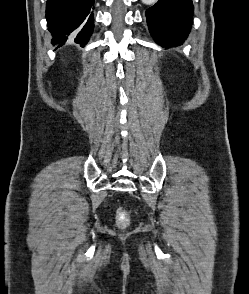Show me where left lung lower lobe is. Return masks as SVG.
<instances>
[{
    "mask_svg": "<svg viewBox=\"0 0 249 294\" xmlns=\"http://www.w3.org/2000/svg\"><path fill=\"white\" fill-rule=\"evenodd\" d=\"M192 13V0H159L146 11L151 35L163 47L182 44L190 31Z\"/></svg>",
    "mask_w": 249,
    "mask_h": 294,
    "instance_id": "left-lung-lower-lobe-1",
    "label": "left lung lower lobe"
}]
</instances>
